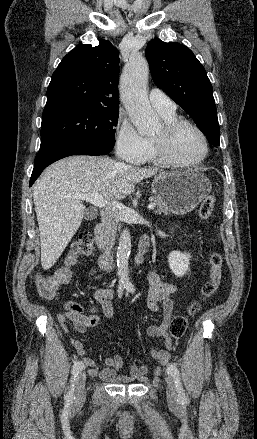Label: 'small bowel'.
<instances>
[{
	"instance_id": "1",
	"label": "small bowel",
	"mask_w": 257,
	"mask_h": 439,
	"mask_svg": "<svg viewBox=\"0 0 257 439\" xmlns=\"http://www.w3.org/2000/svg\"><path fill=\"white\" fill-rule=\"evenodd\" d=\"M149 294L147 307L152 312L163 311V322L157 325H151L147 328L146 333L149 337H164L166 349L159 350L152 348L150 356L159 364H166L171 358V352L174 349L172 338L167 337V329L173 314L172 295L176 292V287L162 280L158 269L154 267L149 275ZM114 292L111 288H101L95 291L94 299L96 305L85 309L84 306L76 301H67L64 304V312L58 315V321L65 324L67 321L72 323L73 329L78 333H83L89 328H93L99 323L98 311L100 310L107 318H112L114 310L112 298ZM74 349L78 355L84 356L87 349L82 341L76 340L73 343ZM81 362L88 368V374L91 377H100L103 381L111 383L133 382L146 380L148 368L146 366L132 365L129 371L120 375L119 372L124 370V361L120 355L106 357L104 359L105 368L99 370L94 360L89 357H83Z\"/></svg>"
}]
</instances>
